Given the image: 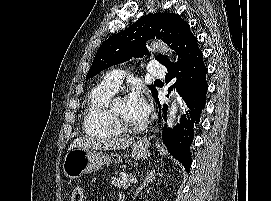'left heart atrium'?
Listing matches in <instances>:
<instances>
[{"mask_svg":"<svg viewBox=\"0 0 271 201\" xmlns=\"http://www.w3.org/2000/svg\"><path fill=\"white\" fill-rule=\"evenodd\" d=\"M126 102L132 115L140 121L146 120L153 108L151 100L146 96L142 88H136L130 93L126 98Z\"/></svg>","mask_w":271,"mask_h":201,"instance_id":"left-heart-atrium-1","label":"left heart atrium"}]
</instances>
